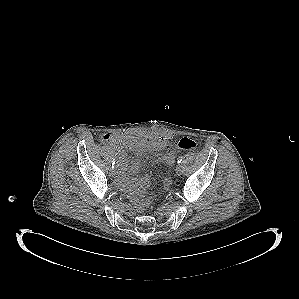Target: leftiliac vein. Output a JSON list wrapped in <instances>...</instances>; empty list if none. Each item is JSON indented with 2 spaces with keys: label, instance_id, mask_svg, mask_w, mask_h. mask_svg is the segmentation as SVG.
Masks as SVG:
<instances>
[{
  "label": "left iliac vein",
  "instance_id": "left-iliac-vein-1",
  "mask_svg": "<svg viewBox=\"0 0 299 299\" xmlns=\"http://www.w3.org/2000/svg\"><path fill=\"white\" fill-rule=\"evenodd\" d=\"M182 171H183V167H182V165H181V164H178L177 167H176V173H177L178 175H180V174L182 173Z\"/></svg>",
  "mask_w": 299,
  "mask_h": 299
}]
</instances>
